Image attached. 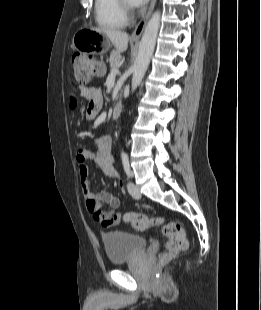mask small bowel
Wrapping results in <instances>:
<instances>
[{"mask_svg": "<svg viewBox=\"0 0 261 310\" xmlns=\"http://www.w3.org/2000/svg\"><path fill=\"white\" fill-rule=\"evenodd\" d=\"M79 94L88 100L87 119L94 120L102 106V98L99 89L90 86L79 88ZM94 148H81L76 152V163L79 171L80 183L85 198L87 210L95 221L104 227L119 225L123 220V214L115 212L120 202L119 199L108 192L93 193L90 187L88 160H93L96 165L109 177L119 181V175L113 166L112 144L109 138H99L94 141ZM102 204L109 206L110 210L104 211Z\"/></svg>", "mask_w": 261, "mask_h": 310, "instance_id": "obj_1", "label": "small bowel"}]
</instances>
